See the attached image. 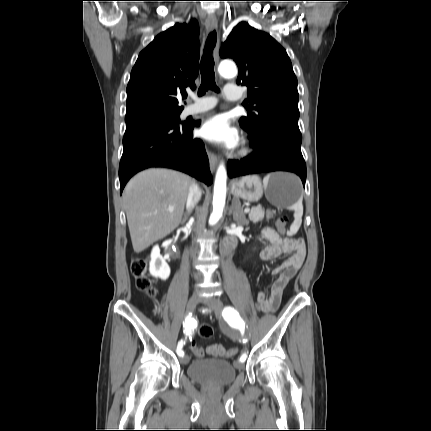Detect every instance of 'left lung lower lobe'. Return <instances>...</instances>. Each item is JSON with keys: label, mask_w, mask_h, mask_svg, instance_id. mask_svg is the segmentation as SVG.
Returning a JSON list of instances; mask_svg holds the SVG:
<instances>
[{"label": "left lung lower lobe", "mask_w": 431, "mask_h": 431, "mask_svg": "<svg viewBox=\"0 0 431 431\" xmlns=\"http://www.w3.org/2000/svg\"><path fill=\"white\" fill-rule=\"evenodd\" d=\"M301 141L300 131L271 126L260 137L251 139L254 152L250 156L228 162V175L234 178L261 172L289 171L299 175L305 186L306 165L300 149Z\"/></svg>", "instance_id": "left-lung-lower-lobe-1"}]
</instances>
